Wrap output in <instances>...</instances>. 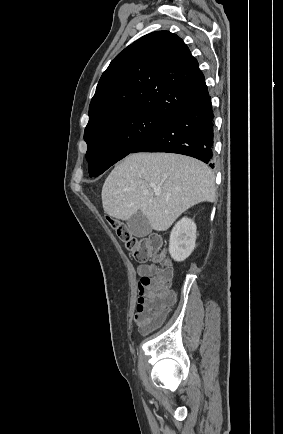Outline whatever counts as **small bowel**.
Returning <instances> with one entry per match:
<instances>
[{"label":"small bowel","instance_id":"c3829d8e","mask_svg":"<svg viewBox=\"0 0 283 434\" xmlns=\"http://www.w3.org/2000/svg\"><path fill=\"white\" fill-rule=\"evenodd\" d=\"M153 265H140L137 267V273L140 277L150 275L154 271Z\"/></svg>","mask_w":283,"mask_h":434}]
</instances>
